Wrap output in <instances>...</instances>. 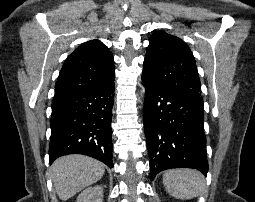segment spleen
<instances>
[{"label":"spleen","mask_w":255,"mask_h":202,"mask_svg":"<svg viewBox=\"0 0 255 202\" xmlns=\"http://www.w3.org/2000/svg\"><path fill=\"white\" fill-rule=\"evenodd\" d=\"M166 191L178 199H192L205 191L203 175L191 169H172L163 176Z\"/></svg>","instance_id":"1"}]
</instances>
